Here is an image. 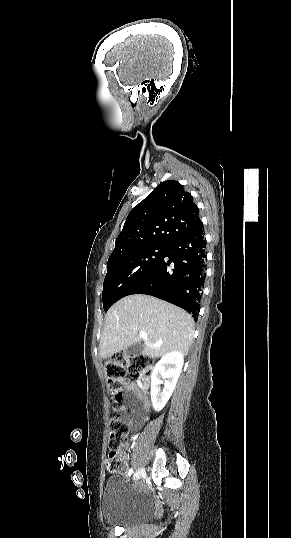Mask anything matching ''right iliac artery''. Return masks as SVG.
I'll list each match as a JSON object with an SVG mask.
<instances>
[{"label":"right iliac artery","instance_id":"obj_1","mask_svg":"<svg viewBox=\"0 0 291 538\" xmlns=\"http://www.w3.org/2000/svg\"><path fill=\"white\" fill-rule=\"evenodd\" d=\"M133 473V469L131 468L128 472V475L131 476V474Z\"/></svg>","mask_w":291,"mask_h":538}]
</instances>
